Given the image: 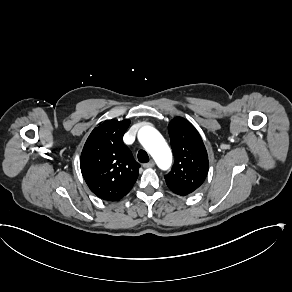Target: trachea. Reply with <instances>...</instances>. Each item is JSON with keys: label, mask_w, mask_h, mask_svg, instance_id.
Here are the masks:
<instances>
[{"label": "trachea", "mask_w": 292, "mask_h": 292, "mask_svg": "<svg viewBox=\"0 0 292 292\" xmlns=\"http://www.w3.org/2000/svg\"><path fill=\"white\" fill-rule=\"evenodd\" d=\"M137 158H138L139 162H141V163H148L150 160L148 153L144 150H139V152L137 154Z\"/></svg>", "instance_id": "1"}]
</instances>
